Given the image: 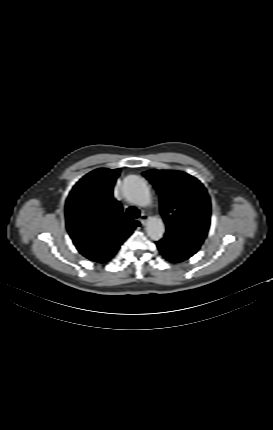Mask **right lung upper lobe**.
<instances>
[{
    "label": "right lung upper lobe",
    "mask_w": 273,
    "mask_h": 430,
    "mask_svg": "<svg viewBox=\"0 0 273 430\" xmlns=\"http://www.w3.org/2000/svg\"><path fill=\"white\" fill-rule=\"evenodd\" d=\"M119 169H96L76 183L65 204L66 225L78 251L104 263L140 225L125 221L120 202L113 197Z\"/></svg>",
    "instance_id": "cb5924a9"
}]
</instances>
